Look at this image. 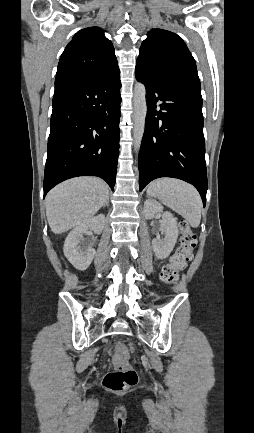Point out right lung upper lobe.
<instances>
[{
    "label": "right lung upper lobe",
    "instance_id": "1",
    "mask_svg": "<svg viewBox=\"0 0 254 433\" xmlns=\"http://www.w3.org/2000/svg\"><path fill=\"white\" fill-rule=\"evenodd\" d=\"M112 42L98 27L78 31L62 53L55 85L75 79L98 78L118 71Z\"/></svg>",
    "mask_w": 254,
    "mask_h": 433
}]
</instances>
